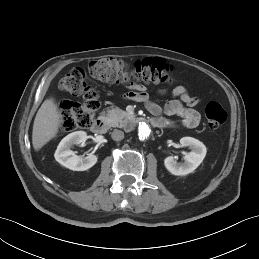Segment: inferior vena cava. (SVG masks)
Here are the masks:
<instances>
[{"mask_svg":"<svg viewBox=\"0 0 259 259\" xmlns=\"http://www.w3.org/2000/svg\"><path fill=\"white\" fill-rule=\"evenodd\" d=\"M111 137L115 141H120L124 138V132L118 129L113 130Z\"/></svg>","mask_w":259,"mask_h":259,"instance_id":"obj_1","label":"inferior vena cava"}]
</instances>
